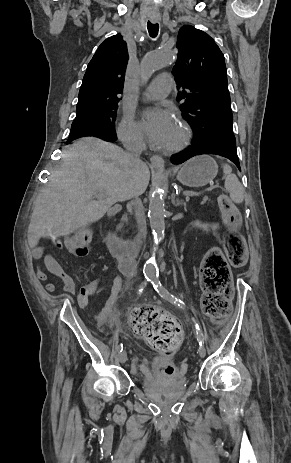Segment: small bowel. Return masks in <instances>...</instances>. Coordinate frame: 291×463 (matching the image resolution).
I'll return each mask as SVG.
<instances>
[{
  "label": "small bowel",
  "mask_w": 291,
  "mask_h": 463,
  "mask_svg": "<svg viewBox=\"0 0 291 463\" xmlns=\"http://www.w3.org/2000/svg\"><path fill=\"white\" fill-rule=\"evenodd\" d=\"M54 244L57 246L58 249H62L63 244L58 240H53ZM70 237H66L64 239V246L74 255L76 256H85L87 255L90 250L92 249V244H87L81 250H71L70 249ZM33 257L35 259L43 258L44 264L46 269L49 273L53 276L60 279L63 284L64 291L68 294L74 295L76 292V285L73 278L68 275L61 264L57 261V259L48 253L44 252V248L39 245H34L32 250ZM118 268L121 273V276L115 278L112 286L111 296L102 310L94 317V320L97 325H103L112 319V307L113 303L116 299L118 292L122 289L125 284V280L131 278L135 273V262L131 256H119L117 257ZM37 277L40 281H46L47 275L46 273L38 268ZM46 290L49 292H54L56 287L53 283L46 284ZM77 302L81 308H85L88 305V291L86 288L80 289L77 293Z\"/></svg>",
  "instance_id": "obj_1"
}]
</instances>
